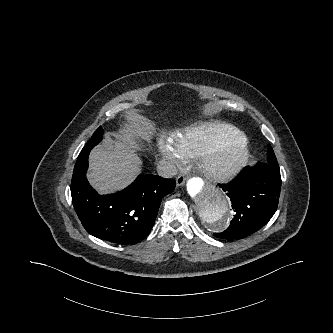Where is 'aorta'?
Returning <instances> with one entry per match:
<instances>
[{"label":"aorta","mask_w":333,"mask_h":333,"mask_svg":"<svg viewBox=\"0 0 333 333\" xmlns=\"http://www.w3.org/2000/svg\"><path fill=\"white\" fill-rule=\"evenodd\" d=\"M187 193L199 220L219 229L229 214V202L223 192L217 186L193 177L187 182Z\"/></svg>","instance_id":"obj_1"}]
</instances>
